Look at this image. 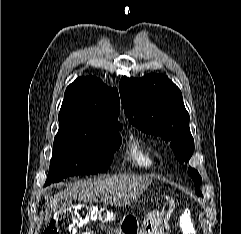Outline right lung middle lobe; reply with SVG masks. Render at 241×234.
I'll use <instances>...</instances> for the list:
<instances>
[{
    "label": "right lung middle lobe",
    "mask_w": 241,
    "mask_h": 234,
    "mask_svg": "<svg viewBox=\"0 0 241 234\" xmlns=\"http://www.w3.org/2000/svg\"><path fill=\"white\" fill-rule=\"evenodd\" d=\"M45 186L67 176L106 172L121 145L122 128H89L60 116Z\"/></svg>",
    "instance_id": "dd1d6c3e"
}]
</instances>
